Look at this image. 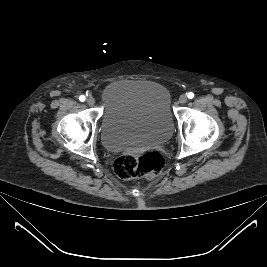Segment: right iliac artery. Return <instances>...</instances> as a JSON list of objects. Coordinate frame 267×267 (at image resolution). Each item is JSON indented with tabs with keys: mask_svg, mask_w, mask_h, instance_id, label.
I'll use <instances>...</instances> for the list:
<instances>
[{
	"mask_svg": "<svg viewBox=\"0 0 267 267\" xmlns=\"http://www.w3.org/2000/svg\"><path fill=\"white\" fill-rule=\"evenodd\" d=\"M79 99H80V101H85V96L81 95V96L79 97Z\"/></svg>",
	"mask_w": 267,
	"mask_h": 267,
	"instance_id": "82829eb1",
	"label": "right iliac artery"
}]
</instances>
